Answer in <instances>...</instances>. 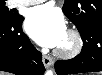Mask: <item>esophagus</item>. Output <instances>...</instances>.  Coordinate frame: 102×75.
<instances>
[{"label":"esophagus","mask_w":102,"mask_h":75,"mask_svg":"<svg viewBox=\"0 0 102 75\" xmlns=\"http://www.w3.org/2000/svg\"><path fill=\"white\" fill-rule=\"evenodd\" d=\"M43 64L45 65V67H50L52 66V64L54 63V60L52 57L48 56V55H43Z\"/></svg>","instance_id":"1"}]
</instances>
